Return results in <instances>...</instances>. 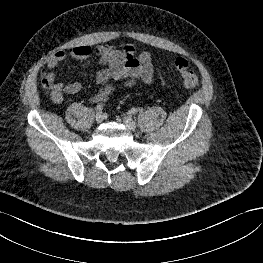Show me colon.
Instances as JSON below:
<instances>
[{"mask_svg": "<svg viewBox=\"0 0 263 263\" xmlns=\"http://www.w3.org/2000/svg\"><path fill=\"white\" fill-rule=\"evenodd\" d=\"M174 67L177 72L180 74L183 84L187 88H194L199 84V78L197 74L189 67V63L186 59L179 57L174 61ZM43 83L45 86H49V82L44 76Z\"/></svg>", "mask_w": 263, "mask_h": 263, "instance_id": "5ec220e1", "label": "colon"}]
</instances>
